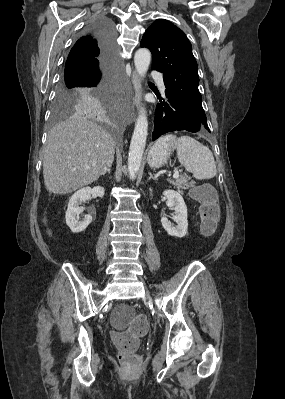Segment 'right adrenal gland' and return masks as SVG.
<instances>
[{
  "label": "right adrenal gland",
  "mask_w": 285,
  "mask_h": 399,
  "mask_svg": "<svg viewBox=\"0 0 285 399\" xmlns=\"http://www.w3.org/2000/svg\"><path fill=\"white\" fill-rule=\"evenodd\" d=\"M106 172H108V174H110L111 173V167H108V169L106 170ZM105 172V173H106Z\"/></svg>",
  "instance_id": "right-adrenal-gland-1"
}]
</instances>
